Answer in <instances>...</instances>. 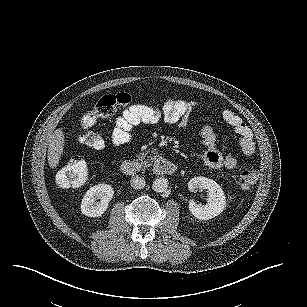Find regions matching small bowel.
Masks as SVG:
<instances>
[{"instance_id":"1","label":"small bowel","mask_w":307,"mask_h":307,"mask_svg":"<svg viewBox=\"0 0 307 307\" xmlns=\"http://www.w3.org/2000/svg\"><path fill=\"white\" fill-rule=\"evenodd\" d=\"M199 103L186 99H170L161 109L154 108L146 104H135L125 109L115 120V125L111 133V143L115 147H120L130 141L132 130L140 124H156L163 120L167 124L184 128L188 123V118L192 110ZM221 117L233 131L239 136V144L246 156L255 153V143L253 134L244 121L231 110H223ZM202 138L206 145L203 154L204 162L211 168L235 169L237 160L232 153H222L216 145V137L211 129L205 128Z\"/></svg>"}]
</instances>
